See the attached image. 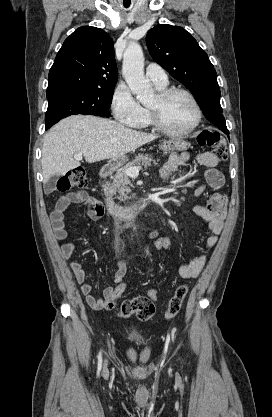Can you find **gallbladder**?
I'll return each mask as SVG.
<instances>
[{"label": "gallbladder", "mask_w": 272, "mask_h": 417, "mask_svg": "<svg viewBox=\"0 0 272 417\" xmlns=\"http://www.w3.org/2000/svg\"><path fill=\"white\" fill-rule=\"evenodd\" d=\"M58 176H52L44 185V192L46 194L52 193L56 188Z\"/></svg>", "instance_id": "1"}]
</instances>
